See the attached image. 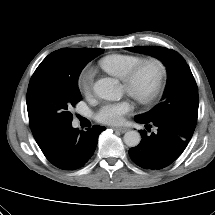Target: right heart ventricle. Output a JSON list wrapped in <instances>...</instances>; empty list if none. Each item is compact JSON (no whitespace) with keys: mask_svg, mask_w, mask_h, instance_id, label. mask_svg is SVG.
I'll list each match as a JSON object with an SVG mask.
<instances>
[{"mask_svg":"<svg viewBox=\"0 0 215 215\" xmlns=\"http://www.w3.org/2000/svg\"><path fill=\"white\" fill-rule=\"evenodd\" d=\"M142 59L135 54L115 53L103 57L99 64L104 71L121 80L129 70Z\"/></svg>","mask_w":215,"mask_h":215,"instance_id":"e07e8e85","label":"right heart ventricle"}]
</instances>
